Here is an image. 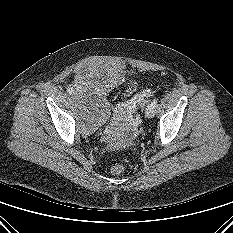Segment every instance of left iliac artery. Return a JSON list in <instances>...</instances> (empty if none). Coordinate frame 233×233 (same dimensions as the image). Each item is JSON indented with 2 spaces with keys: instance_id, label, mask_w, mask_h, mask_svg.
<instances>
[{
  "instance_id": "obj_1",
  "label": "left iliac artery",
  "mask_w": 233,
  "mask_h": 233,
  "mask_svg": "<svg viewBox=\"0 0 233 233\" xmlns=\"http://www.w3.org/2000/svg\"><path fill=\"white\" fill-rule=\"evenodd\" d=\"M157 102H158V98H154L153 101L151 102V106L155 108L157 105Z\"/></svg>"
}]
</instances>
